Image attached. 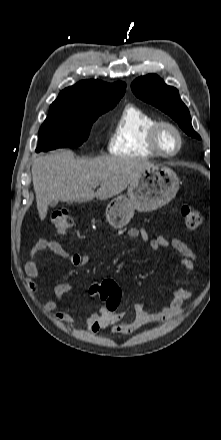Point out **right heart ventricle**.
<instances>
[{"label":"right heart ventricle","instance_id":"obj_1","mask_svg":"<svg viewBox=\"0 0 221 440\" xmlns=\"http://www.w3.org/2000/svg\"><path fill=\"white\" fill-rule=\"evenodd\" d=\"M157 119L134 104H127L120 113L108 142L109 152L128 158H152L148 133Z\"/></svg>","mask_w":221,"mask_h":440}]
</instances>
